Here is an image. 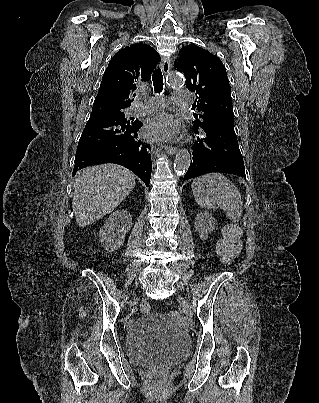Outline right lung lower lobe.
I'll list each match as a JSON object with an SVG mask.
<instances>
[{
  "instance_id": "98d812e1",
  "label": "right lung lower lobe",
  "mask_w": 319,
  "mask_h": 403,
  "mask_svg": "<svg viewBox=\"0 0 319 403\" xmlns=\"http://www.w3.org/2000/svg\"><path fill=\"white\" fill-rule=\"evenodd\" d=\"M141 126L138 120L89 119L77 146L73 176L87 166L116 163L133 171L148 186L151 148L137 133Z\"/></svg>"
}]
</instances>
